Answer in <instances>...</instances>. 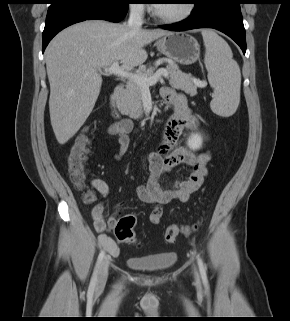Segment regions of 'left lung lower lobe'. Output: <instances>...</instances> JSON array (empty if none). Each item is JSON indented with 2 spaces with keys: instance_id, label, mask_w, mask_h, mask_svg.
<instances>
[{
  "instance_id": "1",
  "label": "left lung lower lobe",
  "mask_w": 290,
  "mask_h": 321,
  "mask_svg": "<svg viewBox=\"0 0 290 321\" xmlns=\"http://www.w3.org/2000/svg\"><path fill=\"white\" fill-rule=\"evenodd\" d=\"M241 3L242 0H209L201 7L193 9L191 16L186 20L160 27L171 31L214 28L232 38L245 54L246 38Z\"/></svg>"
}]
</instances>
